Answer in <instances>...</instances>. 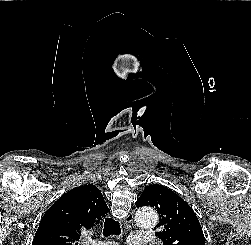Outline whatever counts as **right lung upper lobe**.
I'll use <instances>...</instances> for the list:
<instances>
[{
	"label": "right lung upper lobe",
	"instance_id": "cb5924a9",
	"mask_svg": "<svg viewBox=\"0 0 251 245\" xmlns=\"http://www.w3.org/2000/svg\"><path fill=\"white\" fill-rule=\"evenodd\" d=\"M108 208L93 184L61 196L42 217L32 245H78L81 231L98 224Z\"/></svg>",
	"mask_w": 251,
	"mask_h": 245
}]
</instances>
